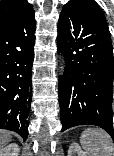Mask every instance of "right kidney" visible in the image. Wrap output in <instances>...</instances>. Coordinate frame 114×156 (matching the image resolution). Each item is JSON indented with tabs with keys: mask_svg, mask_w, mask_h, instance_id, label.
<instances>
[{
	"mask_svg": "<svg viewBox=\"0 0 114 156\" xmlns=\"http://www.w3.org/2000/svg\"><path fill=\"white\" fill-rule=\"evenodd\" d=\"M18 152L19 146L12 143L0 150V156H18Z\"/></svg>",
	"mask_w": 114,
	"mask_h": 156,
	"instance_id": "ca27d5eb",
	"label": "right kidney"
}]
</instances>
